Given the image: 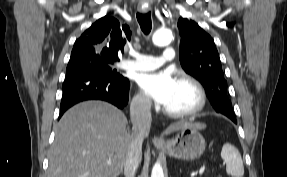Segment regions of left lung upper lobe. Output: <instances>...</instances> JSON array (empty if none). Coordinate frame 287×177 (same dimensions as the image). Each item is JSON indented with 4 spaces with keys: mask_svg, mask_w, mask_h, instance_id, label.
Returning <instances> with one entry per match:
<instances>
[{
    "mask_svg": "<svg viewBox=\"0 0 287 177\" xmlns=\"http://www.w3.org/2000/svg\"><path fill=\"white\" fill-rule=\"evenodd\" d=\"M178 28L182 68L201 82L217 112L234 116L214 40L196 22L187 18L178 20Z\"/></svg>",
    "mask_w": 287,
    "mask_h": 177,
    "instance_id": "5c2ea615",
    "label": "left lung upper lobe"
}]
</instances>
